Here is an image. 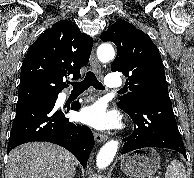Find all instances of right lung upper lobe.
I'll return each mask as SVG.
<instances>
[{
    "instance_id": "cb5924a9",
    "label": "right lung upper lobe",
    "mask_w": 194,
    "mask_h": 178,
    "mask_svg": "<svg viewBox=\"0 0 194 178\" xmlns=\"http://www.w3.org/2000/svg\"><path fill=\"white\" fill-rule=\"evenodd\" d=\"M93 39L71 21L61 20L45 30L29 47L22 63L18 102L58 97L68 87L64 79L80 77L90 57Z\"/></svg>"
}]
</instances>
